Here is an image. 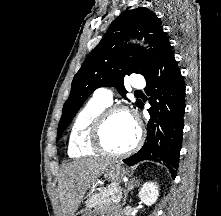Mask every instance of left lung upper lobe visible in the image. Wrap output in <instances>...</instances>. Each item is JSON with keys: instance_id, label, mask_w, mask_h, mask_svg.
<instances>
[{"instance_id": "obj_1", "label": "left lung upper lobe", "mask_w": 221, "mask_h": 216, "mask_svg": "<svg viewBox=\"0 0 221 216\" xmlns=\"http://www.w3.org/2000/svg\"><path fill=\"white\" fill-rule=\"evenodd\" d=\"M130 36L145 38L153 48L123 45ZM168 41L159 18L147 8L127 10L116 18L74 76L70 96L63 106L57 141L94 90L115 86L125 97V75L140 73L144 76ZM140 104L137 100L136 105Z\"/></svg>"}]
</instances>
